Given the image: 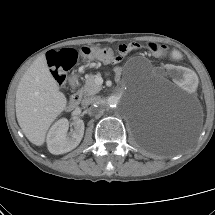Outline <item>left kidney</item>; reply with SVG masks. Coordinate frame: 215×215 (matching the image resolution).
I'll return each mask as SVG.
<instances>
[{"mask_svg":"<svg viewBox=\"0 0 215 215\" xmlns=\"http://www.w3.org/2000/svg\"><path fill=\"white\" fill-rule=\"evenodd\" d=\"M165 71L168 75L174 77L180 86L187 92L195 91L200 86L199 77L191 70L185 67H175L172 64L166 66Z\"/></svg>","mask_w":215,"mask_h":215,"instance_id":"obj_1","label":"left kidney"}]
</instances>
